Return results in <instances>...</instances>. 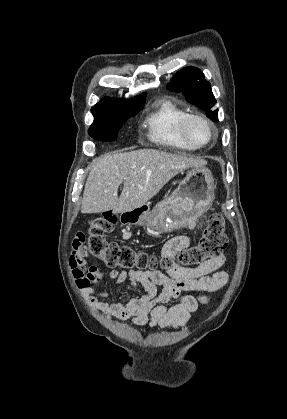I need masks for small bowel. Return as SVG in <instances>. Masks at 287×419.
<instances>
[{"instance_id": "1", "label": "small bowel", "mask_w": 287, "mask_h": 419, "mask_svg": "<svg viewBox=\"0 0 287 419\" xmlns=\"http://www.w3.org/2000/svg\"><path fill=\"white\" fill-rule=\"evenodd\" d=\"M190 243L191 239L188 236L173 237L164 245L162 254L164 257H173ZM225 260V254H221L197 268H185L175 264L167 270V274L157 270H112L107 279H104L98 267L88 264L87 249L75 239L69 265L76 285L96 312L118 320L131 318L137 326L176 329L187 323L199 303L208 302V298L204 295H182V293H212L225 285L228 273L219 270ZM106 281L114 282L113 289L98 291L94 288L96 284ZM123 285L126 291H135L138 285H141L145 294L128 300L121 294L120 301L112 304L99 300V297H112ZM158 285L162 286L159 294L156 290ZM172 299H178L179 302L167 305Z\"/></svg>"}]
</instances>
